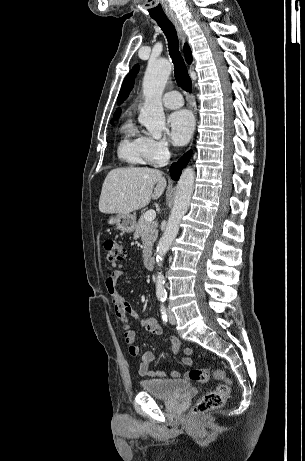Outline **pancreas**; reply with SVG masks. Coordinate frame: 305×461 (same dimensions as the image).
Instances as JSON below:
<instances>
[{"mask_svg": "<svg viewBox=\"0 0 305 461\" xmlns=\"http://www.w3.org/2000/svg\"><path fill=\"white\" fill-rule=\"evenodd\" d=\"M158 224L156 221H147L141 216L135 227L134 237H141L143 243V257L150 255L156 240Z\"/></svg>", "mask_w": 305, "mask_h": 461, "instance_id": "cf45deb5", "label": "pancreas"}]
</instances>
